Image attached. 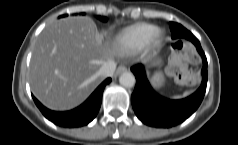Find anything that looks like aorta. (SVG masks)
<instances>
[{
  "label": "aorta",
  "mask_w": 238,
  "mask_h": 145,
  "mask_svg": "<svg viewBox=\"0 0 238 145\" xmlns=\"http://www.w3.org/2000/svg\"><path fill=\"white\" fill-rule=\"evenodd\" d=\"M119 82L122 86L133 87L135 85V76L131 72H124L119 77Z\"/></svg>",
  "instance_id": "1"
}]
</instances>
